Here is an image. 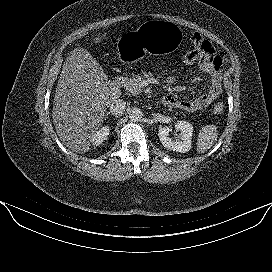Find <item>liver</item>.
I'll return each mask as SVG.
<instances>
[{"mask_svg": "<svg viewBox=\"0 0 272 272\" xmlns=\"http://www.w3.org/2000/svg\"><path fill=\"white\" fill-rule=\"evenodd\" d=\"M120 95L91 54L75 48L63 64L53 100V123L62 143L76 153L88 152L107 108Z\"/></svg>", "mask_w": 272, "mask_h": 272, "instance_id": "6515ba94", "label": "liver"}]
</instances>
